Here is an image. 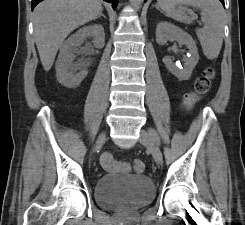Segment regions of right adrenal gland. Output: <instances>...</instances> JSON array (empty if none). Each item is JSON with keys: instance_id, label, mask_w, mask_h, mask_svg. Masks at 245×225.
Here are the masks:
<instances>
[{"instance_id": "1", "label": "right adrenal gland", "mask_w": 245, "mask_h": 225, "mask_svg": "<svg viewBox=\"0 0 245 225\" xmlns=\"http://www.w3.org/2000/svg\"><path fill=\"white\" fill-rule=\"evenodd\" d=\"M100 17L106 18V16L102 12L100 13V15L97 18H100Z\"/></svg>"}]
</instances>
